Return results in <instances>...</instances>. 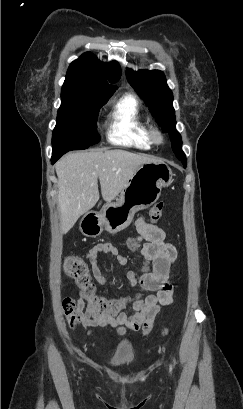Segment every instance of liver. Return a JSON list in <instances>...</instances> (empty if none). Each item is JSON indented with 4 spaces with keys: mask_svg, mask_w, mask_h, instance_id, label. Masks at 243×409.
I'll return each instance as SVG.
<instances>
[{
    "mask_svg": "<svg viewBox=\"0 0 243 409\" xmlns=\"http://www.w3.org/2000/svg\"><path fill=\"white\" fill-rule=\"evenodd\" d=\"M157 160L146 155L114 149L69 153L56 164L58 208L62 233L68 232L84 213L102 198L110 203L143 164Z\"/></svg>",
    "mask_w": 243,
    "mask_h": 409,
    "instance_id": "1",
    "label": "liver"
}]
</instances>
